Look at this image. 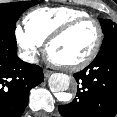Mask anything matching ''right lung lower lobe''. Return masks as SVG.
I'll return each mask as SVG.
<instances>
[{
  "instance_id": "obj_1",
  "label": "right lung lower lobe",
  "mask_w": 117,
  "mask_h": 117,
  "mask_svg": "<svg viewBox=\"0 0 117 117\" xmlns=\"http://www.w3.org/2000/svg\"><path fill=\"white\" fill-rule=\"evenodd\" d=\"M43 80L40 66L18 58L15 32L0 29V117H21L30 89Z\"/></svg>"
}]
</instances>
